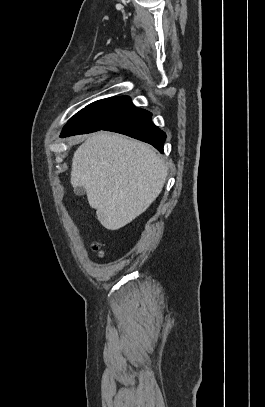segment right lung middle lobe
Segmentation results:
<instances>
[{"instance_id": "dd1d6c3e", "label": "right lung middle lobe", "mask_w": 265, "mask_h": 407, "mask_svg": "<svg viewBox=\"0 0 265 407\" xmlns=\"http://www.w3.org/2000/svg\"><path fill=\"white\" fill-rule=\"evenodd\" d=\"M137 108L127 96L96 101L76 113L65 125L61 135H76L106 128Z\"/></svg>"}]
</instances>
